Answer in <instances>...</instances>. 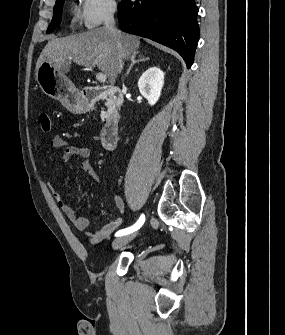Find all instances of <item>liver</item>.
<instances>
[{
  "label": "liver",
  "instance_id": "liver-1",
  "mask_svg": "<svg viewBox=\"0 0 285 335\" xmlns=\"http://www.w3.org/2000/svg\"><path fill=\"white\" fill-rule=\"evenodd\" d=\"M118 44H121L125 60L140 48V42L136 36H129L125 32L113 34L107 28H94L83 34L55 38L48 42L39 56L36 70L45 60L59 70L70 68V64L74 62L85 68H99L107 76L109 84L114 86L119 74Z\"/></svg>",
  "mask_w": 285,
  "mask_h": 335
}]
</instances>
